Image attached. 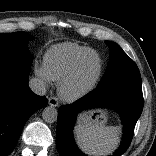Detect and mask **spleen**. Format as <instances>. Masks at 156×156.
<instances>
[{
  "label": "spleen",
  "mask_w": 156,
  "mask_h": 156,
  "mask_svg": "<svg viewBox=\"0 0 156 156\" xmlns=\"http://www.w3.org/2000/svg\"><path fill=\"white\" fill-rule=\"evenodd\" d=\"M75 133L81 149L93 156H106L113 153L120 140L119 128L91 122L79 124Z\"/></svg>",
  "instance_id": "1"
}]
</instances>
